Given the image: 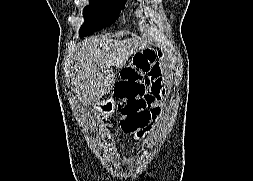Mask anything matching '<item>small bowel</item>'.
<instances>
[{
  "label": "small bowel",
  "instance_id": "c3829d8e",
  "mask_svg": "<svg viewBox=\"0 0 253 181\" xmlns=\"http://www.w3.org/2000/svg\"><path fill=\"white\" fill-rule=\"evenodd\" d=\"M145 84L148 97L157 99L154 107L156 109L155 114H158L160 112V102L165 95V80L161 67L159 65H155L153 60L150 61V67L146 74Z\"/></svg>",
  "mask_w": 253,
  "mask_h": 181
}]
</instances>
